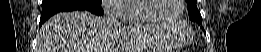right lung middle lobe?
<instances>
[{
    "label": "right lung middle lobe",
    "mask_w": 261,
    "mask_h": 52,
    "mask_svg": "<svg viewBox=\"0 0 261 52\" xmlns=\"http://www.w3.org/2000/svg\"><path fill=\"white\" fill-rule=\"evenodd\" d=\"M102 0H92L89 1L88 3L94 4V5H101Z\"/></svg>",
    "instance_id": "dd1d6c3e"
}]
</instances>
